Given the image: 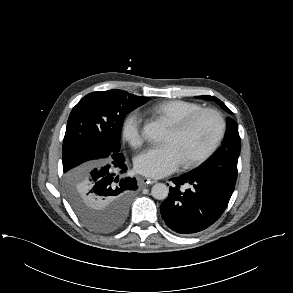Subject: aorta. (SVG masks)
<instances>
[{
    "mask_svg": "<svg viewBox=\"0 0 293 293\" xmlns=\"http://www.w3.org/2000/svg\"><path fill=\"white\" fill-rule=\"evenodd\" d=\"M166 126L161 121H151L146 123L142 129V135L154 142H161L166 135ZM152 196L157 200L168 197L169 188L164 183H156L151 189Z\"/></svg>",
    "mask_w": 293,
    "mask_h": 293,
    "instance_id": "obj_1",
    "label": "aorta"
}]
</instances>
